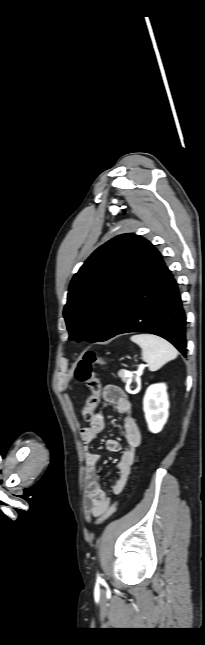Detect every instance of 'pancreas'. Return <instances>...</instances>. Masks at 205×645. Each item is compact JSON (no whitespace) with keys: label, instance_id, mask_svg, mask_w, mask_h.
Masks as SVG:
<instances>
[{"label":"pancreas","instance_id":"pancreas-1","mask_svg":"<svg viewBox=\"0 0 205 645\" xmlns=\"http://www.w3.org/2000/svg\"><path fill=\"white\" fill-rule=\"evenodd\" d=\"M118 376H119V377L121 378V380H122L124 383H126V384H129V385H130V383L132 382V376H131V377L127 376V375H126V371H125V370H120V371L118 372Z\"/></svg>","mask_w":205,"mask_h":645}]
</instances>
